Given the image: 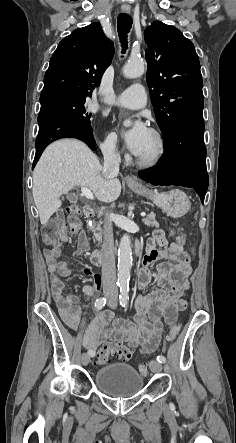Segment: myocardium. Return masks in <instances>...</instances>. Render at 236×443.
Listing matches in <instances>:
<instances>
[{"label":"myocardium","instance_id":"1","mask_svg":"<svg viewBox=\"0 0 236 443\" xmlns=\"http://www.w3.org/2000/svg\"><path fill=\"white\" fill-rule=\"evenodd\" d=\"M149 131L156 140L157 146L155 152L148 156L136 155L137 164L145 168H152L160 164L167 152L166 141L163 134L155 128H150Z\"/></svg>","mask_w":236,"mask_h":443}]
</instances>
